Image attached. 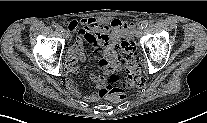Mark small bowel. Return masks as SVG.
Instances as JSON below:
<instances>
[{
  "label": "small bowel",
  "instance_id": "1",
  "mask_svg": "<svg viewBox=\"0 0 207 123\" xmlns=\"http://www.w3.org/2000/svg\"><path fill=\"white\" fill-rule=\"evenodd\" d=\"M80 27L75 43L66 54V86L70 93L77 98L82 96L74 82V75L78 72L77 61L85 60L84 43L86 42L92 54H100L102 58L98 62L99 68H105L114 64L116 60L115 47L122 40L129 38L133 31V24L118 18H113L108 23L98 21L95 18L72 20L67 24L69 31ZM91 79L98 82V76L93 74ZM96 99V93L90 92L84 96V100L92 102Z\"/></svg>",
  "mask_w": 207,
  "mask_h": 123
}]
</instances>
